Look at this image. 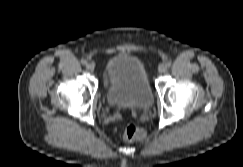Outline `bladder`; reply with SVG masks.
<instances>
[{
    "mask_svg": "<svg viewBox=\"0 0 243 167\" xmlns=\"http://www.w3.org/2000/svg\"><path fill=\"white\" fill-rule=\"evenodd\" d=\"M104 93L109 106L146 110L154 102L146 66L139 57L126 52L118 53L108 61Z\"/></svg>",
    "mask_w": 243,
    "mask_h": 167,
    "instance_id": "bladder-1",
    "label": "bladder"
}]
</instances>
